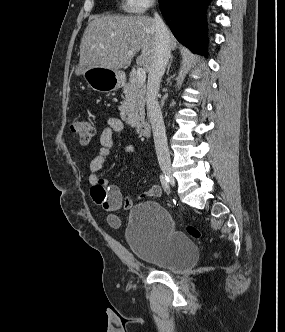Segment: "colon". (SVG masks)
<instances>
[{"label": "colon", "instance_id": "5ec220e1", "mask_svg": "<svg viewBox=\"0 0 285 332\" xmlns=\"http://www.w3.org/2000/svg\"><path fill=\"white\" fill-rule=\"evenodd\" d=\"M71 130L83 144H89L96 135L95 127L90 122L83 119L74 120L71 123ZM187 233L193 238L200 237V231L194 226H188Z\"/></svg>", "mask_w": 285, "mask_h": 332}]
</instances>
